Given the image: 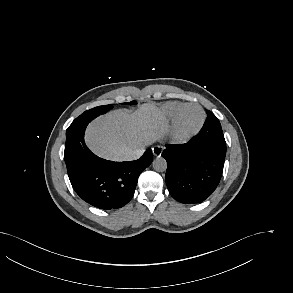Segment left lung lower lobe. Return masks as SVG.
<instances>
[{
  "mask_svg": "<svg viewBox=\"0 0 293 293\" xmlns=\"http://www.w3.org/2000/svg\"><path fill=\"white\" fill-rule=\"evenodd\" d=\"M226 142L222 128L206 120L186 144L167 145L162 152L168 167L166 184L181 203H200L218 186L224 166Z\"/></svg>",
  "mask_w": 293,
  "mask_h": 293,
  "instance_id": "obj_1",
  "label": "left lung lower lobe"
}]
</instances>
